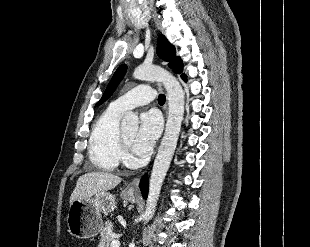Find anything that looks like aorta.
<instances>
[{"label": "aorta", "instance_id": "obj_1", "mask_svg": "<svg viewBox=\"0 0 310 247\" xmlns=\"http://www.w3.org/2000/svg\"><path fill=\"white\" fill-rule=\"evenodd\" d=\"M133 77L139 80L161 82L167 91L169 105L166 129L153 164L146 208L142 215V220L148 222L154 215L162 184L177 146L184 115L185 94L178 80L160 67L139 66L134 70ZM138 124V116L132 112L127 113L121 122L124 129L136 130Z\"/></svg>", "mask_w": 310, "mask_h": 247}]
</instances>
